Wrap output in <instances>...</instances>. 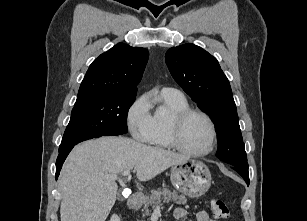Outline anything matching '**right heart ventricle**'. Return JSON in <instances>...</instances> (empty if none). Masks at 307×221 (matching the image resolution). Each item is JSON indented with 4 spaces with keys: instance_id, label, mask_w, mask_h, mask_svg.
Returning <instances> with one entry per match:
<instances>
[{
    "instance_id": "1",
    "label": "right heart ventricle",
    "mask_w": 307,
    "mask_h": 221,
    "mask_svg": "<svg viewBox=\"0 0 307 221\" xmlns=\"http://www.w3.org/2000/svg\"><path fill=\"white\" fill-rule=\"evenodd\" d=\"M158 106L151 115L147 142L159 148H172L170 131L173 117L180 111L190 108L182 94L161 91Z\"/></svg>"
}]
</instances>
